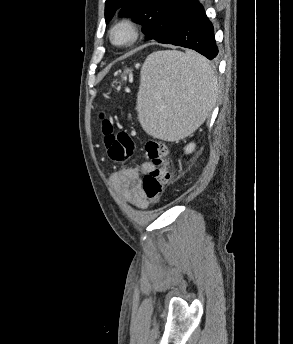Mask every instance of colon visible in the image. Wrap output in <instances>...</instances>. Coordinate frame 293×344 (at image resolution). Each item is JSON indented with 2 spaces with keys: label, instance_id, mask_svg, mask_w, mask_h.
<instances>
[{
  "label": "colon",
  "instance_id": "colon-1",
  "mask_svg": "<svg viewBox=\"0 0 293 344\" xmlns=\"http://www.w3.org/2000/svg\"><path fill=\"white\" fill-rule=\"evenodd\" d=\"M103 142L109 159L118 164L125 163L133 154L135 144L125 131H116L112 121L102 118ZM145 151L154 168L142 179L141 188L150 203H157L171 175L168 161V146L158 140H149Z\"/></svg>",
  "mask_w": 293,
  "mask_h": 344
}]
</instances>
